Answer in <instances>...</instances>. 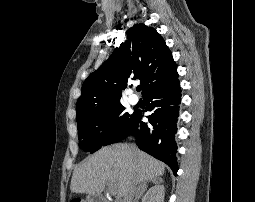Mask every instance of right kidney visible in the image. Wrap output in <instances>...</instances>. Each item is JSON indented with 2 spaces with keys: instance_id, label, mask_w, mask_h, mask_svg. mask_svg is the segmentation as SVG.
<instances>
[{
  "instance_id": "ca27d5eb",
  "label": "right kidney",
  "mask_w": 255,
  "mask_h": 202,
  "mask_svg": "<svg viewBox=\"0 0 255 202\" xmlns=\"http://www.w3.org/2000/svg\"><path fill=\"white\" fill-rule=\"evenodd\" d=\"M165 187L158 184L146 193L142 202H164Z\"/></svg>"
}]
</instances>
